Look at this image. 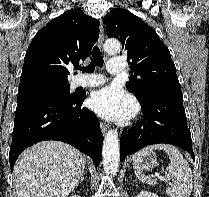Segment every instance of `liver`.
<instances>
[{
    "label": "liver",
    "instance_id": "6515ba94",
    "mask_svg": "<svg viewBox=\"0 0 209 197\" xmlns=\"http://www.w3.org/2000/svg\"><path fill=\"white\" fill-rule=\"evenodd\" d=\"M85 155L60 141H43L26 149L14 167L18 197H66L78 185Z\"/></svg>",
    "mask_w": 209,
    "mask_h": 197
}]
</instances>
